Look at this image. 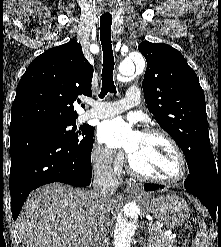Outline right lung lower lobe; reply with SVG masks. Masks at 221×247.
Wrapping results in <instances>:
<instances>
[{"label": "right lung lower lobe", "instance_id": "98d812e1", "mask_svg": "<svg viewBox=\"0 0 221 247\" xmlns=\"http://www.w3.org/2000/svg\"><path fill=\"white\" fill-rule=\"evenodd\" d=\"M9 134V188L14 220L29 193L39 186L52 182L76 187L90 184L93 144L89 149H82L48 133L31 129H13Z\"/></svg>", "mask_w": 221, "mask_h": 247}]
</instances>
